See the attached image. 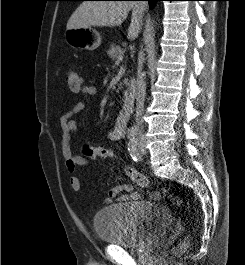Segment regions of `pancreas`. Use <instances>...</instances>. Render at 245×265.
<instances>
[{
    "label": "pancreas",
    "instance_id": "1",
    "mask_svg": "<svg viewBox=\"0 0 245 265\" xmlns=\"http://www.w3.org/2000/svg\"><path fill=\"white\" fill-rule=\"evenodd\" d=\"M124 50L119 46L115 44H111L109 50L107 51V55L112 59H116L119 54H123Z\"/></svg>",
    "mask_w": 245,
    "mask_h": 265
}]
</instances>
